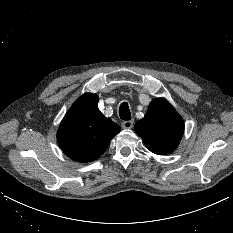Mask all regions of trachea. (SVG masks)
Listing matches in <instances>:
<instances>
[{"label": "trachea", "mask_w": 233, "mask_h": 233, "mask_svg": "<svg viewBox=\"0 0 233 233\" xmlns=\"http://www.w3.org/2000/svg\"><path fill=\"white\" fill-rule=\"evenodd\" d=\"M119 115L122 120H131V113L127 102H123L119 108Z\"/></svg>", "instance_id": "trachea-1"}]
</instances>
